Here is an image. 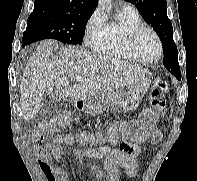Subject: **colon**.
<instances>
[{"instance_id": "1", "label": "colon", "mask_w": 197, "mask_h": 181, "mask_svg": "<svg viewBox=\"0 0 197 181\" xmlns=\"http://www.w3.org/2000/svg\"><path fill=\"white\" fill-rule=\"evenodd\" d=\"M168 92V83L164 79H156L151 91H150V109L142 112L138 119L133 120L130 124H125L124 128L129 131V127L132 130V137L135 141L142 140L147 134L152 132L157 124L158 119L163 116L167 109L166 94ZM70 120V114L64 112L51 121L46 123L42 129V134L47 135L53 139V143L57 144L61 140L55 136L53 133L62 127H65ZM42 134L36 133L35 138L38 140L42 139ZM117 139L116 131L111 133V140L115 141ZM67 143L71 142L70 138H66ZM83 142H86L83 139ZM92 144H98L99 146H104L103 139L97 137L92 141ZM121 148L125 151L130 150V146L124 139L121 143Z\"/></svg>"}]
</instances>
